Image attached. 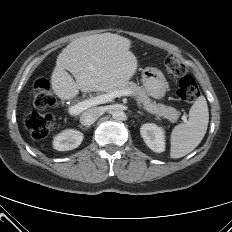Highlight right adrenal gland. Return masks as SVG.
<instances>
[{
	"instance_id": "1",
	"label": "right adrenal gland",
	"mask_w": 232,
	"mask_h": 232,
	"mask_svg": "<svg viewBox=\"0 0 232 232\" xmlns=\"http://www.w3.org/2000/svg\"><path fill=\"white\" fill-rule=\"evenodd\" d=\"M79 127H80L83 131H86V130H88V129H89V127H88V126L83 127L82 125H79Z\"/></svg>"
}]
</instances>
